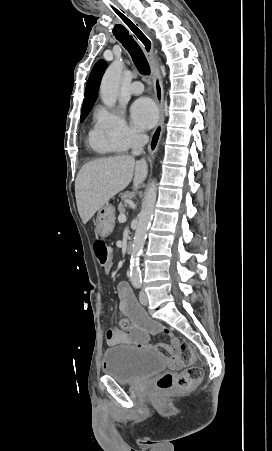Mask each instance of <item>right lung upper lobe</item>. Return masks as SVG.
Instances as JSON below:
<instances>
[{
    "label": "right lung upper lobe",
    "instance_id": "obj_1",
    "mask_svg": "<svg viewBox=\"0 0 272 451\" xmlns=\"http://www.w3.org/2000/svg\"><path fill=\"white\" fill-rule=\"evenodd\" d=\"M106 67L107 63L104 60L98 61L93 67L87 82L82 108H92V106L94 105L97 99V91L99 89L101 78Z\"/></svg>",
    "mask_w": 272,
    "mask_h": 451
}]
</instances>
